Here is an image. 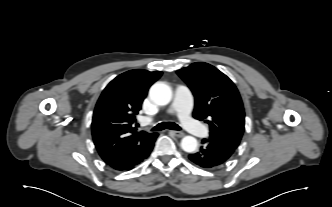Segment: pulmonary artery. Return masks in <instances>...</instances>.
<instances>
[{
  "label": "pulmonary artery",
  "instance_id": "obj_1",
  "mask_svg": "<svg viewBox=\"0 0 332 207\" xmlns=\"http://www.w3.org/2000/svg\"><path fill=\"white\" fill-rule=\"evenodd\" d=\"M193 104L194 100L190 90L184 85H178L175 89L174 100L169 112L175 113L183 127L191 134L200 137L207 136L208 128L191 117Z\"/></svg>",
  "mask_w": 332,
  "mask_h": 207
}]
</instances>
